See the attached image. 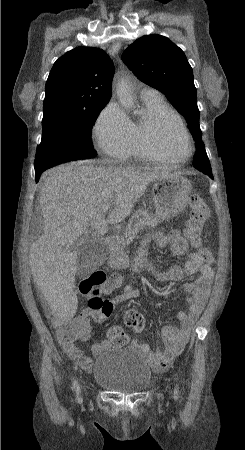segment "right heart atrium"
<instances>
[{
	"label": "right heart atrium",
	"instance_id": "obj_1",
	"mask_svg": "<svg viewBox=\"0 0 245 450\" xmlns=\"http://www.w3.org/2000/svg\"><path fill=\"white\" fill-rule=\"evenodd\" d=\"M133 122L116 102L108 103L93 127V139L99 151L108 158L126 160L132 151Z\"/></svg>",
	"mask_w": 245,
	"mask_h": 450
}]
</instances>
